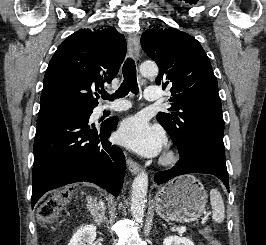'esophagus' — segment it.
Instances as JSON below:
<instances>
[{"label":"esophagus","instance_id":"obj_1","mask_svg":"<svg viewBox=\"0 0 266 245\" xmlns=\"http://www.w3.org/2000/svg\"><path fill=\"white\" fill-rule=\"evenodd\" d=\"M127 48H128L129 55L135 58L136 60H138L140 48H139V39L135 33H131L129 35L128 42H127ZM128 166H129V171L132 174H136L140 170V165L137 164V162H135L131 158H128Z\"/></svg>","mask_w":266,"mask_h":245}]
</instances>
